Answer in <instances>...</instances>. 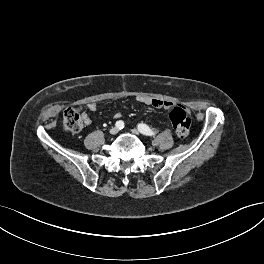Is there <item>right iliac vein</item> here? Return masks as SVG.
I'll list each match as a JSON object with an SVG mask.
<instances>
[{"instance_id": "1", "label": "right iliac vein", "mask_w": 264, "mask_h": 264, "mask_svg": "<svg viewBox=\"0 0 264 264\" xmlns=\"http://www.w3.org/2000/svg\"><path fill=\"white\" fill-rule=\"evenodd\" d=\"M119 129L117 127H113L110 129V134L116 135L118 133Z\"/></svg>"}]
</instances>
